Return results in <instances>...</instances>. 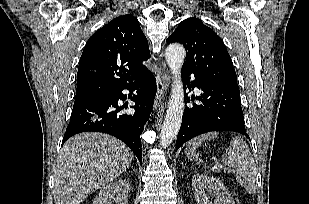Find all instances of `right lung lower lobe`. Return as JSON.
I'll return each instance as SVG.
<instances>
[{
    "mask_svg": "<svg viewBox=\"0 0 309 204\" xmlns=\"http://www.w3.org/2000/svg\"><path fill=\"white\" fill-rule=\"evenodd\" d=\"M128 89L133 95L135 113H122L123 107L118 100L127 99L122 91ZM156 94V82L153 74L148 71L137 80L114 89L105 94L74 102L71 121L68 125L62 144L71 136L81 132H102L122 140L142 163V147L140 135L152 111ZM129 97V96H128Z\"/></svg>",
    "mask_w": 309,
    "mask_h": 204,
    "instance_id": "1",
    "label": "right lung lower lobe"
}]
</instances>
